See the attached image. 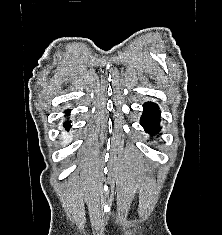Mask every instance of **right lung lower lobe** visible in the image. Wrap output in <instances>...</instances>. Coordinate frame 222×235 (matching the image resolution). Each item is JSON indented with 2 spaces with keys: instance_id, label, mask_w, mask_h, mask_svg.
Here are the masks:
<instances>
[{
  "instance_id": "right-lung-lower-lobe-1",
  "label": "right lung lower lobe",
  "mask_w": 222,
  "mask_h": 235,
  "mask_svg": "<svg viewBox=\"0 0 222 235\" xmlns=\"http://www.w3.org/2000/svg\"><path fill=\"white\" fill-rule=\"evenodd\" d=\"M69 111H66V114H68ZM64 127L66 128V130H68L70 128V123L66 122L64 123Z\"/></svg>"
}]
</instances>
